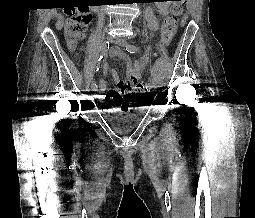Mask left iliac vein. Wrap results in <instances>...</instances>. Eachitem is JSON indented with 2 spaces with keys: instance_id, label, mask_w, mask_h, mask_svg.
Masks as SVG:
<instances>
[{
  "instance_id": "obj_1",
  "label": "left iliac vein",
  "mask_w": 255,
  "mask_h": 218,
  "mask_svg": "<svg viewBox=\"0 0 255 218\" xmlns=\"http://www.w3.org/2000/svg\"><path fill=\"white\" fill-rule=\"evenodd\" d=\"M114 42L121 47H126L128 45V43L124 39H121V38L114 39Z\"/></svg>"
}]
</instances>
